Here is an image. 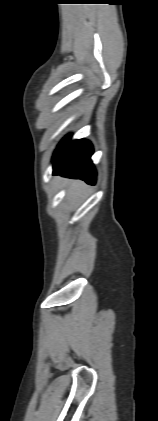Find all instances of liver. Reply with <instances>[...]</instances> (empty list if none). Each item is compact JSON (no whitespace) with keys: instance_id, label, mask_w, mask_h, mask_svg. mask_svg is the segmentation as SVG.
I'll return each instance as SVG.
<instances>
[{"instance_id":"liver-1","label":"liver","mask_w":158,"mask_h":421,"mask_svg":"<svg viewBox=\"0 0 158 421\" xmlns=\"http://www.w3.org/2000/svg\"><path fill=\"white\" fill-rule=\"evenodd\" d=\"M72 186H73V187H75V188H78V187L80 186V184H79V183H77V182H74V183L72 184Z\"/></svg>"}]
</instances>
